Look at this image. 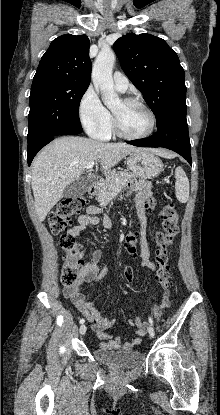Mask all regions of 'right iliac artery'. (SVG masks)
I'll list each match as a JSON object with an SVG mask.
<instances>
[{
  "label": "right iliac artery",
  "mask_w": 220,
  "mask_h": 415,
  "mask_svg": "<svg viewBox=\"0 0 220 415\" xmlns=\"http://www.w3.org/2000/svg\"><path fill=\"white\" fill-rule=\"evenodd\" d=\"M84 322H85V319H83V318L80 319V321H79L80 324H83Z\"/></svg>",
  "instance_id": "obj_1"
}]
</instances>
